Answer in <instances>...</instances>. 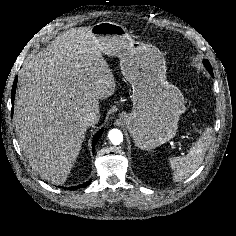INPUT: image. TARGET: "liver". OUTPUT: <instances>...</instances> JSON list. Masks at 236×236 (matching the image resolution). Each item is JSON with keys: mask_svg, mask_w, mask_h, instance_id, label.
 Wrapping results in <instances>:
<instances>
[{"mask_svg": "<svg viewBox=\"0 0 236 236\" xmlns=\"http://www.w3.org/2000/svg\"><path fill=\"white\" fill-rule=\"evenodd\" d=\"M115 78L91 27L59 34L19 72L14 123L32 169L63 184L81 150L83 115L115 91Z\"/></svg>", "mask_w": 236, "mask_h": 236, "instance_id": "1", "label": "liver"}]
</instances>
